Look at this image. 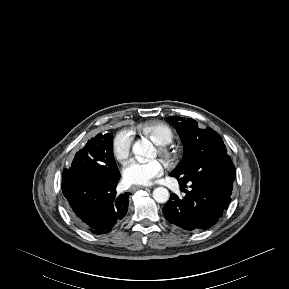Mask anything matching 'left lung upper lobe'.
<instances>
[{
    "mask_svg": "<svg viewBox=\"0 0 289 289\" xmlns=\"http://www.w3.org/2000/svg\"><path fill=\"white\" fill-rule=\"evenodd\" d=\"M167 120L176 124L184 146L182 161L171 176L183 184L201 182L232 191L236 170L220 135L211 128L200 129L193 119Z\"/></svg>",
    "mask_w": 289,
    "mask_h": 289,
    "instance_id": "obj_1",
    "label": "left lung upper lobe"
}]
</instances>
